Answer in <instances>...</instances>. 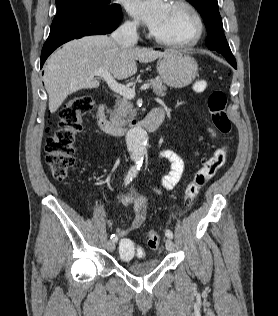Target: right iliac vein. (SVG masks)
Here are the masks:
<instances>
[{
    "label": "right iliac vein",
    "instance_id": "63e3f726",
    "mask_svg": "<svg viewBox=\"0 0 278 316\" xmlns=\"http://www.w3.org/2000/svg\"><path fill=\"white\" fill-rule=\"evenodd\" d=\"M107 249L109 250V251H114L115 250V242L114 241H108V243H107Z\"/></svg>",
    "mask_w": 278,
    "mask_h": 316
}]
</instances>
